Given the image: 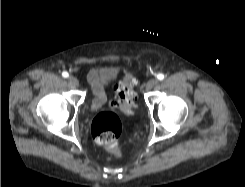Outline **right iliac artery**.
<instances>
[{"mask_svg": "<svg viewBox=\"0 0 245 187\" xmlns=\"http://www.w3.org/2000/svg\"><path fill=\"white\" fill-rule=\"evenodd\" d=\"M62 76H63L64 78H68L69 74H68V72L64 71V72L62 73Z\"/></svg>", "mask_w": 245, "mask_h": 187, "instance_id": "obj_1", "label": "right iliac artery"}]
</instances>
